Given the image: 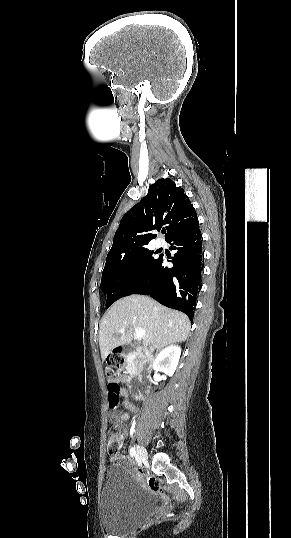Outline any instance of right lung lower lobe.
I'll list each match as a JSON object with an SVG mask.
<instances>
[{"label": "right lung lower lobe", "mask_w": 291, "mask_h": 538, "mask_svg": "<svg viewBox=\"0 0 291 538\" xmlns=\"http://www.w3.org/2000/svg\"><path fill=\"white\" fill-rule=\"evenodd\" d=\"M166 241L172 243V249L177 251L171 260L173 267H166L167 259L160 256L146 280L133 294L150 295L159 303L182 311L192 319L203 269L198 221Z\"/></svg>", "instance_id": "right-lung-lower-lobe-1"}]
</instances>
